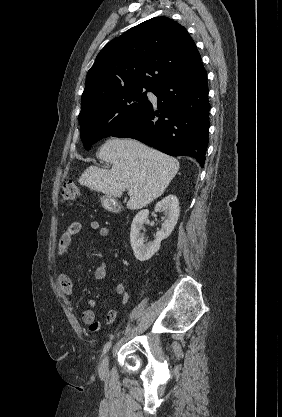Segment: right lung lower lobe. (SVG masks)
I'll use <instances>...</instances> for the list:
<instances>
[{
	"label": "right lung lower lobe",
	"instance_id": "right-lung-lower-lobe-1",
	"mask_svg": "<svg viewBox=\"0 0 282 417\" xmlns=\"http://www.w3.org/2000/svg\"><path fill=\"white\" fill-rule=\"evenodd\" d=\"M151 102L113 137L137 139L171 156H192L204 167L208 145L207 73L203 63L159 85Z\"/></svg>",
	"mask_w": 282,
	"mask_h": 417
}]
</instances>
